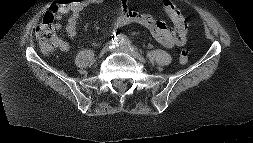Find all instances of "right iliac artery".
<instances>
[{"instance_id": "1", "label": "right iliac artery", "mask_w": 253, "mask_h": 143, "mask_svg": "<svg viewBox=\"0 0 253 143\" xmlns=\"http://www.w3.org/2000/svg\"><path fill=\"white\" fill-rule=\"evenodd\" d=\"M123 38L124 37L121 34H118V35L114 34V36L110 39V41L108 43L109 48L111 49V48H114V47H118L121 44Z\"/></svg>"}]
</instances>
